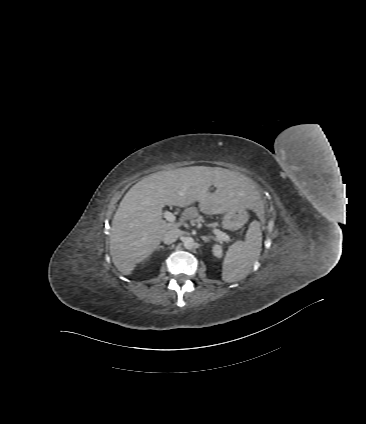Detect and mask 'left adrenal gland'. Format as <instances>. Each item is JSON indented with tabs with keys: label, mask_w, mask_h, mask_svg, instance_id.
Instances as JSON below:
<instances>
[{
	"label": "left adrenal gland",
	"mask_w": 366,
	"mask_h": 424,
	"mask_svg": "<svg viewBox=\"0 0 366 424\" xmlns=\"http://www.w3.org/2000/svg\"><path fill=\"white\" fill-rule=\"evenodd\" d=\"M201 238L205 243L209 242L210 240H216L213 236H202Z\"/></svg>",
	"instance_id": "left-adrenal-gland-1"
}]
</instances>
